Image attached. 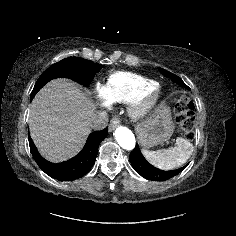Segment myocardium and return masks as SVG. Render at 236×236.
<instances>
[{"mask_svg": "<svg viewBox=\"0 0 236 236\" xmlns=\"http://www.w3.org/2000/svg\"><path fill=\"white\" fill-rule=\"evenodd\" d=\"M161 94V89L157 85L144 91L138 98L130 102L129 116L136 121L146 118L160 99Z\"/></svg>", "mask_w": 236, "mask_h": 236, "instance_id": "f54148a6", "label": "myocardium"}]
</instances>
